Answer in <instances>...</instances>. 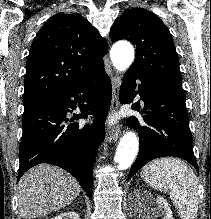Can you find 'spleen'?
<instances>
[{"mask_svg": "<svg viewBox=\"0 0 211 219\" xmlns=\"http://www.w3.org/2000/svg\"><path fill=\"white\" fill-rule=\"evenodd\" d=\"M141 178L152 188L169 193L181 219H196L198 181L185 162L176 158L156 159L142 169Z\"/></svg>", "mask_w": 211, "mask_h": 219, "instance_id": "3e777b00", "label": "spleen"}]
</instances>
